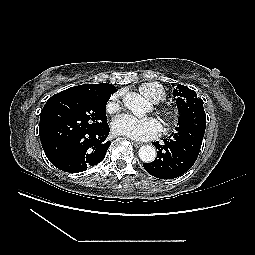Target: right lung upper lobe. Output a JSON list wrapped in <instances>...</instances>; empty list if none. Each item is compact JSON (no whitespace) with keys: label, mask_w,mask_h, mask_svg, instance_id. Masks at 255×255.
I'll return each mask as SVG.
<instances>
[{"label":"right lung upper lobe","mask_w":255,"mask_h":255,"mask_svg":"<svg viewBox=\"0 0 255 255\" xmlns=\"http://www.w3.org/2000/svg\"><path fill=\"white\" fill-rule=\"evenodd\" d=\"M116 87L112 84L101 83V84H84L71 87L66 89L60 94H74V95H106L110 96L112 93L116 91Z\"/></svg>","instance_id":"1"}]
</instances>
